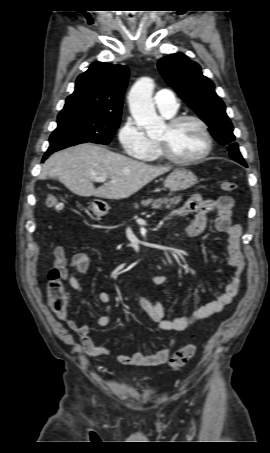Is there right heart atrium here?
I'll return each mask as SVG.
<instances>
[{"label":"right heart atrium","instance_id":"d8ad5b80","mask_svg":"<svg viewBox=\"0 0 270 453\" xmlns=\"http://www.w3.org/2000/svg\"><path fill=\"white\" fill-rule=\"evenodd\" d=\"M118 140L124 153L134 158L143 157L152 146V141L131 117L122 123L118 131Z\"/></svg>","mask_w":270,"mask_h":453}]
</instances>
